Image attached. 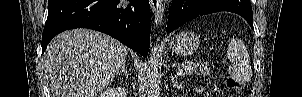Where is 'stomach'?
<instances>
[{
  "label": "stomach",
  "instance_id": "0dacf381",
  "mask_svg": "<svg viewBox=\"0 0 302 97\" xmlns=\"http://www.w3.org/2000/svg\"><path fill=\"white\" fill-rule=\"evenodd\" d=\"M200 44L197 34L191 31H183L171 38L169 49L180 56L187 57L196 52Z\"/></svg>",
  "mask_w": 302,
  "mask_h": 97
}]
</instances>
